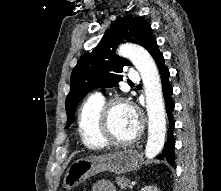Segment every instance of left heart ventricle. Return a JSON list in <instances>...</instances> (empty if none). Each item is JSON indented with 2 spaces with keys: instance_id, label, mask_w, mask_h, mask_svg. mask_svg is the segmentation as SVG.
<instances>
[{
  "instance_id": "1",
  "label": "left heart ventricle",
  "mask_w": 221,
  "mask_h": 191,
  "mask_svg": "<svg viewBox=\"0 0 221 191\" xmlns=\"http://www.w3.org/2000/svg\"><path fill=\"white\" fill-rule=\"evenodd\" d=\"M111 128L115 138L119 140H127L133 136L137 129L129 117V108L119 106L114 109L111 117Z\"/></svg>"
}]
</instances>
